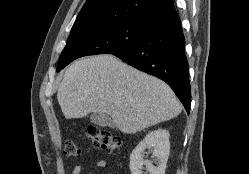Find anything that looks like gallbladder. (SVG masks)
I'll use <instances>...</instances> for the list:
<instances>
[{"mask_svg": "<svg viewBox=\"0 0 249 174\" xmlns=\"http://www.w3.org/2000/svg\"><path fill=\"white\" fill-rule=\"evenodd\" d=\"M90 121L99 126H109L114 128V122L107 114L102 113H92L90 115Z\"/></svg>", "mask_w": 249, "mask_h": 174, "instance_id": "bac80fb5", "label": "gallbladder"}]
</instances>
